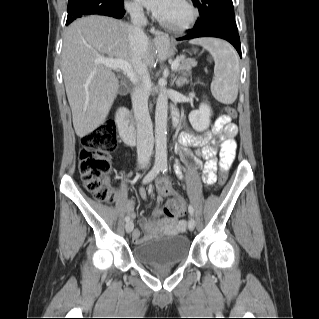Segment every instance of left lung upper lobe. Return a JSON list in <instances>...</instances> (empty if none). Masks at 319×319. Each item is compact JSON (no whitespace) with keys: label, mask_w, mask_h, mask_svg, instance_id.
Returning <instances> with one entry per match:
<instances>
[{"label":"left lung upper lobe","mask_w":319,"mask_h":319,"mask_svg":"<svg viewBox=\"0 0 319 319\" xmlns=\"http://www.w3.org/2000/svg\"><path fill=\"white\" fill-rule=\"evenodd\" d=\"M192 2L200 12V19L196 21L194 28L211 24L237 28L232 0H192Z\"/></svg>","instance_id":"1"}]
</instances>
